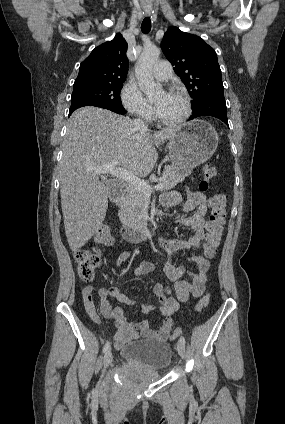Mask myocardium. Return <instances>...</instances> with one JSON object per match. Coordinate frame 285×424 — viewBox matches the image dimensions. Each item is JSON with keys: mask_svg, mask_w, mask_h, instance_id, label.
<instances>
[{"mask_svg": "<svg viewBox=\"0 0 285 424\" xmlns=\"http://www.w3.org/2000/svg\"><path fill=\"white\" fill-rule=\"evenodd\" d=\"M168 93L177 94L184 99L185 105H186L185 113L183 114V116H181L180 118H178L176 120H167V119H164L163 117L160 116V114L158 113V111L155 107L154 108L155 118L162 125L169 126V127L179 126V125L185 123L190 118V116L192 114L191 98L185 91H183L179 88H171Z\"/></svg>", "mask_w": 285, "mask_h": 424, "instance_id": "obj_1", "label": "myocardium"}]
</instances>
